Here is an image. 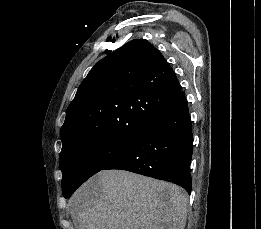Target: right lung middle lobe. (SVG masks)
<instances>
[{
	"mask_svg": "<svg viewBox=\"0 0 261 229\" xmlns=\"http://www.w3.org/2000/svg\"><path fill=\"white\" fill-rule=\"evenodd\" d=\"M130 142L86 138L62 146L60 167L64 197H70L82 183L126 150Z\"/></svg>",
	"mask_w": 261,
	"mask_h": 229,
	"instance_id": "right-lung-middle-lobe-1",
	"label": "right lung middle lobe"
}]
</instances>
